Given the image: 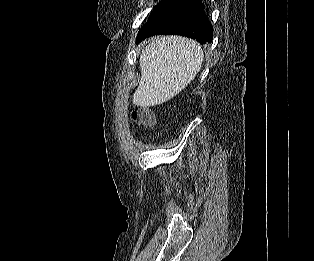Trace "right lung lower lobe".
Listing matches in <instances>:
<instances>
[{"mask_svg": "<svg viewBox=\"0 0 314 261\" xmlns=\"http://www.w3.org/2000/svg\"><path fill=\"white\" fill-rule=\"evenodd\" d=\"M160 34L186 36L204 44L212 41L213 27L200 0H175L140 29L136 43Z\"/></svg>", "mask_w": 314, "mask_h": 261, "instance_id": "right-lung-lower-lobe-1", "label": "right lung lower lobe"}]
</instances>
